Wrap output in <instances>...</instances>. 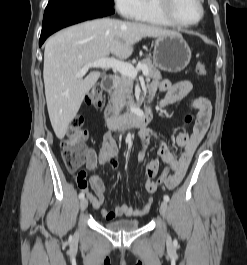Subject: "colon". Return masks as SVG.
<instances>
[{
  "label": "colon",
  "instance_id": "5ec220e1",
  "mask_svg": "<svg viewBox=\"0 0 247 265\" xmlns=\"http://www.w3.org/2000/svg\"><path fill=\"white\" fill-rule=\"evenodd\" d=\"M196 73L199 76H206L207 70L204 64L197 63ZM85 101L91 106H101L103 102V90L100 86H95L87 94ZM192 119L191 115L185 116V122H190ZM87 140L88 132L83 127V118L75 117L69 124V128L66 136L62 140V157L66 168L70 172H76L84 164L87 159ZM172 167L166 163L165 168L162 170L158 177L156 184L161 186L171 176ZM78 175H85L83 171L79 172Z\"/></svg>",
  "mask_w": 247,
  "mask_h": 265
}]
</instances>
